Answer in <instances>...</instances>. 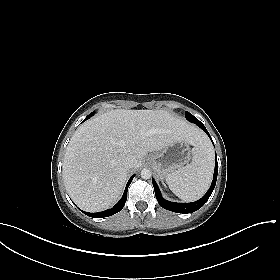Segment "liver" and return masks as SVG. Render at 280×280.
Listing matches in <instances>:
<instances>
[{"label": "liver", "mask_w": 280, "mask_h": 280, "mask_svg": "<svg viewBox=\"0 0 280 280\" xmlns=\"http://www.w3.org/2000/svg\"><path fill=\"white\" fill-rule=\"evenodd\" d=\"M205 142L203 133L165 110L116 109L83 123L73 134L63 160V179L71 199L83 210L110 208L121 196L128 172L148 152L175 141ZM135 157L131 168L123 160Z\"/></svg>", "instance_id": "6515ba94"}]
</instances>
